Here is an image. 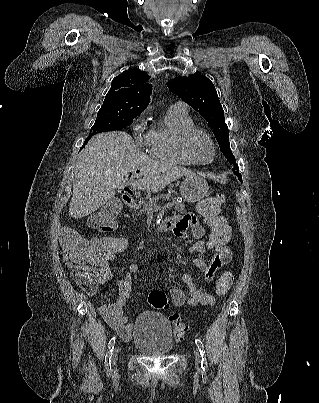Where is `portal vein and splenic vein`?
<instances>
[{"label":"portal vein and splenic vein","mask_w":319,"mask_h":403,"mask_svg":"<svg viewBox=\"0 0 319 403\" xmlns=\"http://www.w3.org/2000/svg\"><path fill=\"white\" fill-rule=\"evenodd\" d=\"M173 206L172 202H169L167 204H165L164 206L160 207V206H154V211H158L161 210V208H171Z\"/></svg>","instance_id":"portal-vein-and-splenic-vein-1"}]
</instances>
